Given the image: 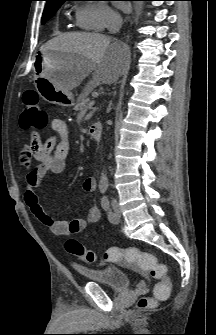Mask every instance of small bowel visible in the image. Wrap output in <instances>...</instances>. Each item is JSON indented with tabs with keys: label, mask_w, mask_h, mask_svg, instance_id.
<instances>
[{
	"label": "small bowel",
	"mask_w": 216,
	"mask_h": 335,
	"mask_svg": "<svg viewBox=\"0 0 216 335\" xmlns=\"http://www.w3.org/2000/svg\"><path fill=\"white\" fill-rule=\"evenodd\" d=\"M51 128L54 135L42 141L38 131L32 132L31 142L19 152V162L26 171V188L24 198L34 216L41 221L53 234L67 236L85 230L88 225L97 223L101 218L97 206L91 205L84 218L73 220H56L46 213L39 202L36 189L49 174H61L66 168V160L70 151V140L66 122L61 118H53ZM33 161L38 162L33 166ZM96 181L88 177L83 182V189L92 192Z\"/></svg>",
	"instance_id": "small-bowel-1"
}]
</instances>
